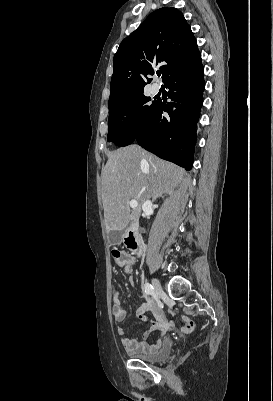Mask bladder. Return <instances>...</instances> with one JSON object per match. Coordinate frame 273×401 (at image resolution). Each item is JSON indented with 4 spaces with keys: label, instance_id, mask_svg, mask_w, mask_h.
I'll return each mask as SVG.
<instances>
[{
    "label": "bladder",
    "instance_id": "31cf9c89",
    "mask_svg": "<svg viewBox=\"0 0 273 401\" xmlns=\"http://www.w3.org/2000/svg\"><path fill=\"white\" fill-rule=\"evenodd\" d=\"M173 350V344L170 340H164L160 350L154 355H134V358L146 363H159L167 360Z\"/></svg>",
    "mask_w": 273,
    "mask_h": 401
}]
</instances>
